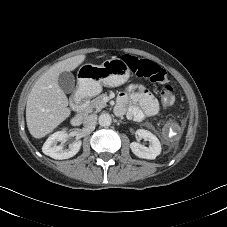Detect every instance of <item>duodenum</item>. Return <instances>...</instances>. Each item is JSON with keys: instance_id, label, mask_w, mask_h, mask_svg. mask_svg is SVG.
Instances as JSON below:
<instances>
[{"instance_id": "obj_1", "label": "duodenum", "mask_w": 227, "mask_h": 227, "mask_svg": "<svg viewBox=\"0 0 227 227\" xmlns=\"http://www.w3.org/2000/svg\"><path fill=\"white\" fill-rule=\"evenodd\" d=\"M72 107L76 110L71 117V124L73 126H80L85 116L87 106V98L83 90L77 91L72 98Z\"/></svg>"}]
</instances>
